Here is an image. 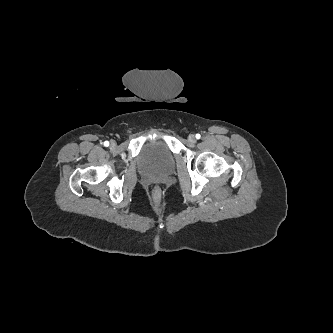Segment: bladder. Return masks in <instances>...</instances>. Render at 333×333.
Masks as SVG:
<instances>
[{
    "instance_id": "obj_1",
    "label": "bladder",
    "mask_w": 333,
    "mask_h": 333,
    "mask_svg": "<svg viewBox=\"0 0 333 333\" xmlns=\"http://www.w3.org/2000/svg\"><path fill=\"white\" fill-rule=\"evenodd\" d=\"M139 170L147 175L166 176L175 167L174 155L163 140L146 142L137 156Z\"/></svg>"
}]
</instances>
